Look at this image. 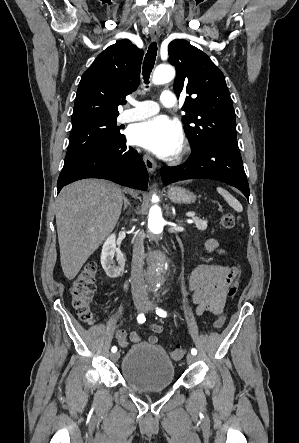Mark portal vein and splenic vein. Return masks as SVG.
I'll return each instance as SVG.
<instances>
[{
    "mask_svg": "<svg viewBox=\"0 0 299 443\" xmlns=\"http://www.w3.org/2000/svg\"><path fill=\"white\" fill-rule=\"evenodd\" d=\"M186 216H187V217H192V218H194V217H195V212H188V213L186 214Z\"/></svg>",
    "mask_w": 299,
    "mask_h": 443,
    "instance_id": "obj_1",
    "label": "portal vein and splenic vein"
}]
</instances>
